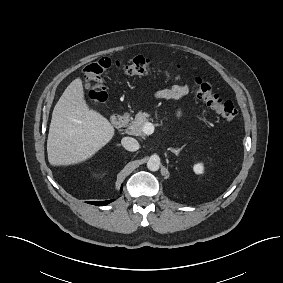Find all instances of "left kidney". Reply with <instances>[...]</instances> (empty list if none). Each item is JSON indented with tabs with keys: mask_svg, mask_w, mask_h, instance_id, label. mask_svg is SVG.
<instances>
[{
	"mask_svg": "<svg viewBox=\"0 0 283 283\" xmlns=\"http://www.w3.org/2000/svg\"><path fill=\"white\" fill-rule=\"evenodd\" d=\"M193 171L196 174H203L204 173V165H203V163H196V164H194Z\"/></svg>",
	"mask_w": 283,
	"mask_h": 283,
	"instance_id": "5707ae66",
	"label": "left kidney"
}]
</instances>
